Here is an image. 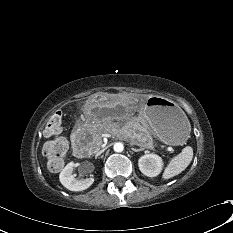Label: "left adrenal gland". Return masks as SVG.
Masks as SVG:
<instances>
[{"mask_svg":"<svg viewBox=\"0 0 233 233\" xmlns=\"http://www.w3.org/2000/svg\"><path fill=\"white\" fill-rule=\"evenodd\" d=\"M131 150L134 151V152H140V151H143L144 148L136 149V148L132 147Z\"/></svg>","mask_w":233,"mask_h":233,"instance_id":"1","label":"left adrenal gland"}]
</instances>
